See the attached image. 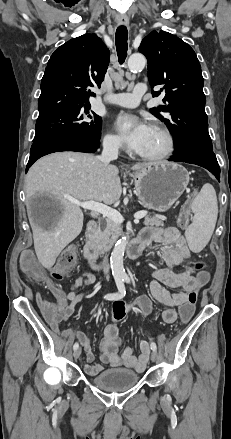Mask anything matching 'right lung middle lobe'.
Wrapping results in <instances>:
<instances>
[{
    "mask_svg": "<svg viewBox=\"0 0 231 439\" xmlns=\"http://www.w3.org/2000/svg\"><path fill=\"white\" fill-rule=\"evenodd\" d=\"M90 105L68 108L39 117L33 143L58 137L100 139L102 119Z\"/></svg>",
    "mask_w": 231,
    "mask_h": 439,
    "instance_id": "right-lung-middle-lobe-1",
    "label": "right lung middle lobe"
}]
</instances>
